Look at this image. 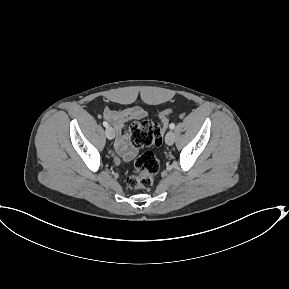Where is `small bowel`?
Here are the masks:
<instances>
[{
	"instance_id": "c3829d8e",
	"label": "small bowel",
	"mask_w": 289,
	"mask_h": 289,
	"mask_svg": "<svg viewBox=\"0 0 289 289\" xmlns=\"http://www.w3.org/2000/svg\"><path fill=\"white\" fill-rule=\"evenodd\" d=\"M146 111L140 106L128 107L122 110L105 109L103 117L115 128L117 138L115 150L124 160H131L137 153L134 146L128 143L127 123L132 120H140L146 117Z\"/></svg>"
}]
</instances>
